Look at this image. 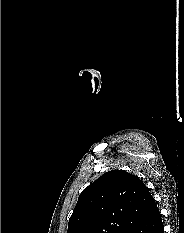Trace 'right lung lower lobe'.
I'll list each match as a JSON object with an SVG mask.
<instances>
[{"label":"right lung lower lobe","instance_id":"98d812e1","mask_svg":"<svg viewBox=\"0 0 184 233\" xmlns=\"http://www.w3.org/2000/svg\"><path fill=\"white\" fill-rule=\"evenodd\" d=\"M128 233H164L161 214L158 207L132 227Z\"/></svg>","mask_w":184,"mask_h":233}]
</instances>
